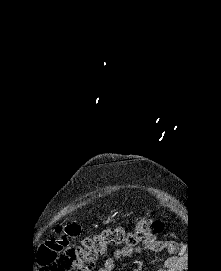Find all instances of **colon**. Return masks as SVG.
Listing matches in <instances>:
<instances>
[{
  "label": "colon",
  "instance_id": "obj_1",
  "mask_svg": "<svg viewBox=\"0 0 221 271\" xmlns=\"http://www.w3.org/2000/svg\"><path fill=\"white\" fill-rule=\"evenodd\" d=\"M47 237L35 253L39 271H92L96 262L103 258L114 245L137 246L154 240L162 233L163 224L151 218L135 221L131 231L121 226L103 228L94 236L84 238L78 245H69L70 239L81 234V227L74 221Z\"/></svg>",
  "mask_w": 221,
  "mask_h": 271
}]
</instances>
